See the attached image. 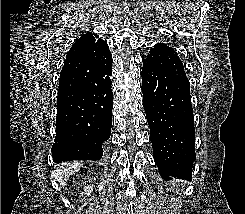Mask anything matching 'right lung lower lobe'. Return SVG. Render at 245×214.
Here are the masks:
<instances>
[{
	"mask_svg": "<svg viewBox=\"0 0 245 214\" xmlns=\"http://www.w3.org/2000/svg\"><path fill=\"white\" fill-rule=\"evenodd\" d=\"M112 57L85 87L79 86L74 60L65 61L57 98L56 137L52 156L68 160H99L111 134L113 92Z\"/></svg>",
	"mask_w": 245,
	"mask_h": 214,
	"instance_id": "98d812e1",
	"label": "right lung lower lobe"
}]
</instances>
